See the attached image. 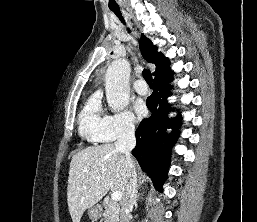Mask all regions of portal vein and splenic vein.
<instances>
[{
    "label": "portal vein and splenic vein",
    "instance_id": "portal-vein-and-splenic-vein-1",
    "mask_svg": "<svg viewBox=\"0 0 257 222\" xmlns=\"http://www.w3.org/2000/svg\"><path fill=\"white\" fill-rule=\"evenodd\" d=\"M122 192H120V191H115V192H113L112 193V195H111V200L112 201H120L121 199H122Z\"/></svg>",
    "mask_w": 257,
    "mask_h": 222
}]
</instances>
